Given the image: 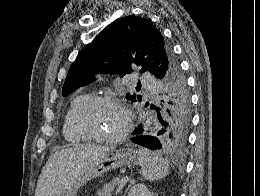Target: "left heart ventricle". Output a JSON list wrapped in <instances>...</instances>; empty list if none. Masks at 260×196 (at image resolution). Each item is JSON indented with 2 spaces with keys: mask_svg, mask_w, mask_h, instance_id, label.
<instances>
[{
  "mask_svg": "<svg viewBox=\"0 0 260 196\" xmlns=\"http://www.w3.org/2000/svg\"><path fill=\"white\" fill-rule=\"evenodd\" d=\"M125 122L124 112L115 104H102L98 106L86 120L87 126L98 134H116Z\"/></svg>",
  "mask_w": 260,
  "mask_h": 196,
  "instance_id": "obj_1",
  "label": "left heart ventricle"
}]
</instances>
